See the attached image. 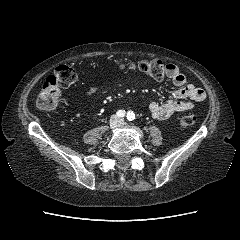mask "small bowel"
Masks as SVG:
<instances>
[{"instance_id":"1","label":"small bowel","mask_w":240,"mask_h":240,"mask_svg":"<svg viewBox=\"0 0 240 240\" xmlns=\"http://www.w3.org/2000/svg\"><path fill=\"white\" fill-rule=\"evenodd\" d=\"M167 67V76L178 89L173 92L172 99L161 103H150V113L158 120H165L176 113L191 110L196 103L203 101L206 97L202 88L187 82L186 76L180 72L177 66L167 64ZM97 90V87H91L85 92V96L89 97Z\"/></svg>"}]
</instances>
